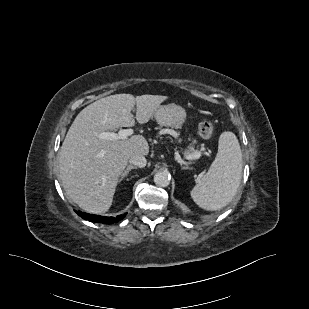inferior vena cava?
Returning <instances> with one entry per match:
<instances>
[{"label": "inferior vena cava", "instance_id": "obj_1", "mask_svg": "<svg viewBox=\"0 0 309 309\" xmlns=\"http://www.w3.org/2000/svg\"><path fill=\"white\" fill-rule=\"evenodd\" d=\"M130 164L143 168L146 166V158L141 154H134L129 158Z\"/></svg>", "mask_w": 309, "mask_h": 309}]
</instances>
